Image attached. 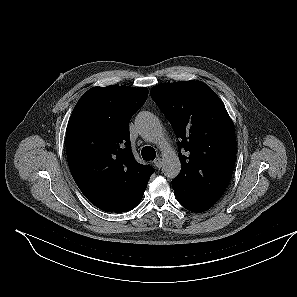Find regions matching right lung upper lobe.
Masks as SVG:
<instances>
[{
	"label": "right lung upper lobe",
	"mask_w": 297,
	"mask_h": 297,
	"mask_svg": "<svg viewBox=\"0 0 297 297\" xmlns=\"http://www.w3.org/2000/svg\"><path fill=\"white\" fill-rule=\"evenodd\" d=\"M147 96V88L94 87L70 116L66 153L71 174L85 197L103 211L131 209L154 172L134 159L129 134L130 118Z\"/></svg>",
	"instance_id": "1"
}]
</instances>
